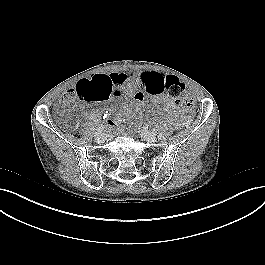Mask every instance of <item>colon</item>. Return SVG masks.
I'll use <instances>...</instances> for the list:
<instances>
[{
    "label": "colon",
    "mask_w": 265,
    "mask_h": 265,
    "mask_svg": "<svg viewBox=\"0 0 265 265\" xmlns=\"http://www.w3.org/2000/svg\"><path fill=\"white\" fill-rule=\"evenodd\" d=\"M166 84V91L170 97L179 98L185 111H192L194 109V98L184 93L183 83L174 75H167L164 79ZM112 93L111 87L106 79L96 78L92 81L80 80L74 88L69 90L66 94V99L75 96L85 101H104L110 97ZM135 106L139 107L143 102V95L137 93L134 96ZM76 118L71 117L67 120V127L73 129L77 126Z\"/></svg>",
    "instance_id": "obj_1"
}]
</instances>
